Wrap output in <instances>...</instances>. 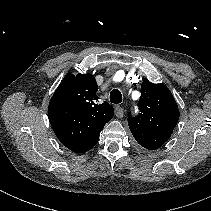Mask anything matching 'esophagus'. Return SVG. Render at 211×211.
I'll list each match as a JSON object with an SVG mask.
<instances>
[{
    "label": "esophagus",
    "mask_w": 211,
    "mask_h": 211,
    "mask_svg": "<svg viewBox=\"0 0 211 211\" xmlns=\"http://www.w3.org/2000/svg\"><path fill=\"white\" fill-rule=\"evenodd\" d=\"M115 115H116L118 118H122L123 115H124V109H123L121 106H116V107H115Z\"/></svg>",
    "instance_id": "esophagus-1"
}]
</instances>
